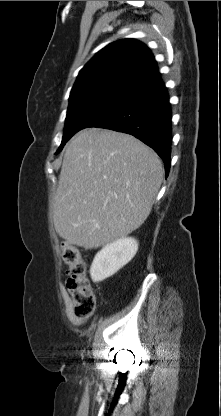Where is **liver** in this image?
Masks as SVG:
<instances>
[{
    "mask_svg": "<svg viewBox=\"0 0 221 416\" xmlns=\"http://www.w3.org/2000/svg\"><path fill=\"white\" fill-rule=\"evenodd\" d=\"M163 175L158 155L134 136L78 132L66 147L54 196L56 232L85 249L124 238L149 216Z\"/></svg>",
    "mask_w": 221,
    "mask_h": 416,
    "instance_id": "obj_1",
    "label": "liver"
}]
</instances>
